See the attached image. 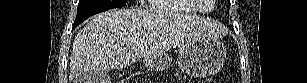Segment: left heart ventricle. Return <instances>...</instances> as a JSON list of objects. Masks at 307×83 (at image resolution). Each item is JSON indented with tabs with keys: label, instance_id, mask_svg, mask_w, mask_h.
Returning <instances> with one entry per match:
<instances>
[{
	"label": "left heart ventricle",
	"instance_id": "b2bd125f",
	"mask_svg": "<svg viewBox=\"0 0 307 83\" xmlns=\"http://www.w3.org/2000/svg\"><path fill=\"white\" fill-rule=\"evenodd\" d=\"M203 7H204V9H207V8H209V5H204Z\"/></svg>",
	"mask_w": 307,
	"mask_h": 83
}]
</instances>
